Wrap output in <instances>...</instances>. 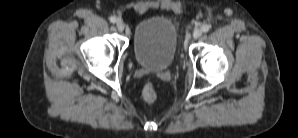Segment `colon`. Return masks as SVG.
<instances>
[{"mask_svg": "<svg viewBox=\"0 0 298 138\" xmlns=\"http://www.w3.org/2000/svg\"><path fill=\"white\" fill-rule=\"evenodd\" d=\"M143 100L146 103H153L157 97V91L153 84L148 83L144 86L142 91Z\"/></svg>", "mask_w": 298, "mask_h": 138, "instance_id": "5ec220e1", "label": "colon"}]
</instances>
